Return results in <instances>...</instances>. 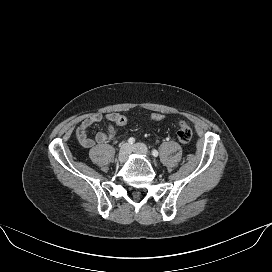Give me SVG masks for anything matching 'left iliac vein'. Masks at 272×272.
Here are the masks:
<instances>
[{"label":"left iliac vein","mask_w":272,"mask_h":272,"mask_svg":"<svg viewBox=\"0 0 272 272\" xmlns=\"http://www.w3.org/2000/svg\"><path fill=\"white\" fill-rule=\"evenodd\" d=\"M132 150L134 153L144 155L146 158L150 159L148 149L144 144L136 143L132 146Z\"/></svg>","instance_id":"1"}]
</instances>
